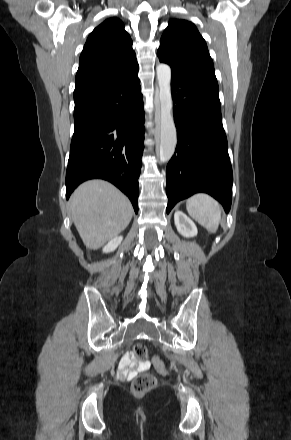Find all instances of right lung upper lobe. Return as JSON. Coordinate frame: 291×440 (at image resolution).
Returning a JSON list of instances; mask_svg holds the SVG:
<instances>
[{
	"mask_svg": "<svg viewBox=\"0 0 291 440\" xmlns=\"http://www.w3.org/2000/svg\"><path fill=\"white\" fill-rule=\"evenodd\" d=\"M136 70V54L124 24L109 18L92 31L84 45L75 88L111 82Z\"/></svg>",
	"mask_w": 291,
	"mask_h": 440,
	"instance_id": "right-lung-upper-lobe-1",
	"label": "right lung upper lobe"
}]
</instances>
